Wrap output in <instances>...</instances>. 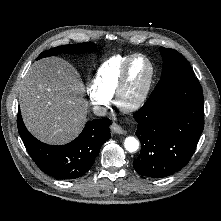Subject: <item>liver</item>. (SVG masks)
Returning a JSON list of instances; mask_svg holds the SVG:
<instances>
[{
    "instance_id": "liver-1",
    "label": "liver",
    "mask_w": 221,
    "mask_h": 221,
    "mask_svg": "<svg viewBox=\"0 0 221 221\" xmlns=\"http://www.w3.org/2000/svg\"><path fill=\"white\" fill-rule=\"evenodd\" d=\"M77 70L65 60L51 57L34 63L19 93L27 129L51 145L72 141L87 122L88 103Z\"/></svg>"
}]
</instances>
